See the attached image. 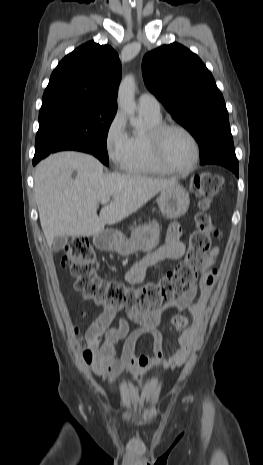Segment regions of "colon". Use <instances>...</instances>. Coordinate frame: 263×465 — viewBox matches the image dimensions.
Masks as SVG:
<instances>
[{
	"label": "colon",
	"mask_w": 263,
	"mask_h": 465,
	"mask_svg": "<svg viewBox=\"0 0 263 465\" xmlns=\"http://www.w3.org/2000/svg\"><path fill=\"white\" fill-rule=\"evenodd\" d=\"M224 185L221 175L202 172L193 177L190 188L192 194L200 200L202 208L206 209ZM214 232L215 226L211 217L204 211L198 213L184 259L158 281L148 282L137 288L99 277L96 253L85 238H75L68 243L62 258V267L75 277V288L86 298L109 307L143 313L180 296L195 284L211 248V235ZM173 325L177 329H185L187 318L179 314L174 317ZM100 342L101 335L92 330L81 337L80 345L88 363L94 362V350Z\"/></svg>",
	"instance_id": "5ec220e1"
}]
</instances>
